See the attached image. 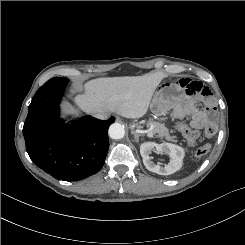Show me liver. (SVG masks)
Listing matches in <instances>:
<instances>
[{
    "instance_id": "liver-1",
    "label": "liver",
    "mask_w": 245,
    "mask_h": 245,
    "mask_svg": "<svg viewBox=\"0 0 245 245\" xmlns=\"http://www.w3.org/2000/svg\"><path fill=\"white\" fill-rule=\"evenodd\" d=\"M166 74L154 72L142 76L108 77L85 84V94L75 97L78 107L94 114L115 112L125 118L143 117L152 96ZM73 112V110H69Z\"/></svg>"
}]
</instances>
